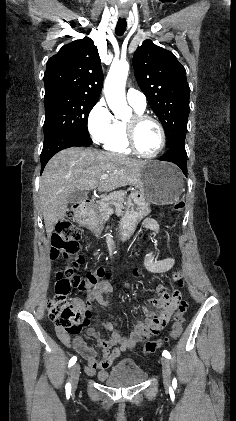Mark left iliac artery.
<instances>
[{"label":"left iliac artery","mask_w":236,"mask_h":421,"mask_svg":"<svg viewBox=\"0 0 236 421\" xmlns=\"http://www.w3.org/2000/svg\"><path fill=\"white\" fill-rule=\"evenodd\" d=\"M162 355H163L164 357L168 358V359H170V358H171V355H170V353H169L167 350H164V351H163V353H162Z\"/></svg>","instance_id":"1"}]
</instances>
